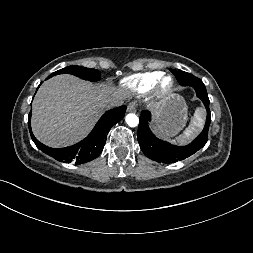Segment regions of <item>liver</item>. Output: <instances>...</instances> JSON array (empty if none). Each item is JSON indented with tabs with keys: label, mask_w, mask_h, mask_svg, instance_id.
Here are the masks:
<instances>
[{
	"label": "liver",
	"mask_w": 253,
	"mask_h": 253,
	"mask_svg": "<svg viewBox=\"0 0 253 253\" xmlns=\"http://www.w3.org/2000/svg\"><path fill=\"white\" fill-rule=\"evenodd\" d=\"M129 95L123 88L57 75L44 82L34 98L33 133L50 147L71 145L90 131L109 102L123 103Z\"/></svg>",
	"instance_id": "liver-1"
}]
</instances>
